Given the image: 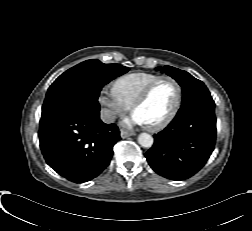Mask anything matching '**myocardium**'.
<instances>
[{"instance_id": "obj_1", "label": "myocardium", "mask_w": 252, "mask_h": 231, "mask_svg": "<svg viewBox=\"0 0 252 231\" xmlns=\"http://www.w3.org/2000/svg\"><path fill=\"white\" fill-rule=\"evenodd\" d=\"M162 80H170L175 85L176 98H175V102H174V105H173L171 111L163 120H161L160 122H158L154 125H146V128L150 131H153V132L159 131V130L165 128L166 126H168L173 121V119L176 117V115L181 107L182 87H181L180 83L178 82V80L172 76H169V75L159 76L158 78H156L155 80H153L150 84H148L146 86V88L141 92V94L136 98V100L132 104V111L135 113V110L148 99L153 88Z\"/></svg>"}]
</instances>
